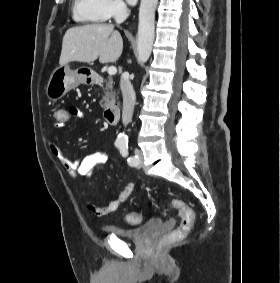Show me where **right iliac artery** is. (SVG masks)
Segmentation results:
<instances>
[{
    "mask_svg": "<svg viewBox=\"0 0 280 283\" xmlns=\"http://www.w3.org/2000/svg\"><path fill=\"white\" fill-rule=\"evenodd\" d=\"M116 145L119 147V146H121V145H122V143H117Z\"/></svg>",
    "mask_w": 280,
    "mask_h": 283,
    "instance_id": "1",
    "label": "right iliac artery"
}]
</instances>
